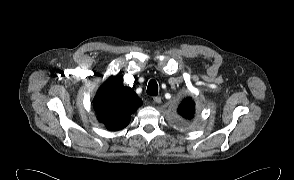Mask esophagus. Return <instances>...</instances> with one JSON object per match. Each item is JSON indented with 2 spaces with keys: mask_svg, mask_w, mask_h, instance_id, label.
<instances>
[{
  "mask_svg": "<svg viewBox=\"0 0 294 180\" xmlns=\"http://www.w3.org/2000/svg\"><path fill=\"white\" fill-rule=\"evenodd\" d=\"M153 101H154L156 104H160V103L162 102L160 96H155V97H153Z\"/></svg>",
  "mask_w": 294,
  "mask_h": 180,
  "instance_id": "esophagus-1",
  "label": "esophagus"
}]
</instances>
